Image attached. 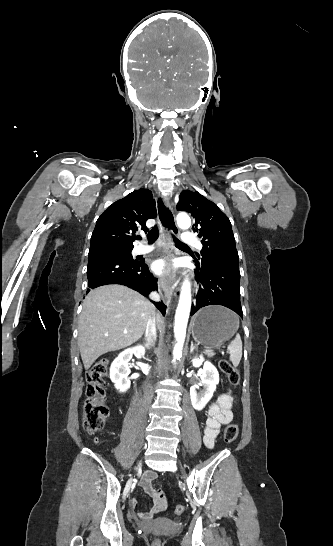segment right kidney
<instances>
[{"label":"right kidney","mask_w":333,"mask_h":546,"mask_svg":"<svg viewBox=\"0 0 333 546\" xmlns=\"http://www.w3.org/2000/svg\"><path fill=\"white\" fill-rule=\"evenodd\" d=\"M142 358L145 355V349L143 346L138 345L132 348L125 349L118 357L114 359L110 367V379L115 384V388L120 392H126L130 388V367L128 362L132 356Z\"/></svg>","instance_id":"obj_1"}]
</instances>
